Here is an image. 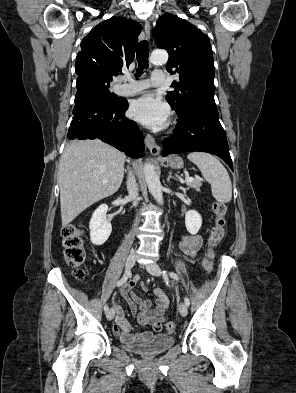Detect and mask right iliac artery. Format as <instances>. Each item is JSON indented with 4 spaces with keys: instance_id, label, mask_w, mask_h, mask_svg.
Returning <instances> with one entry per match:
<instances>
[{
    "instance_id": "obj_1",
    "label": "right iliac artery",
    "mask_w": 296,
    "mask_h": 393,
    "mask_svg": "<svg viewBox=\"0 0 296 393\" xmlns=\"http://www.w3.org/2000/svg\"><path fill=\"white\" fill-rule=\"evenodd\" d=\"M130 272H126L125 275L117 282V286H122L128 279ZM109 310V306H104V311L107 312Z\"/></svg>"
}]
</instances>
